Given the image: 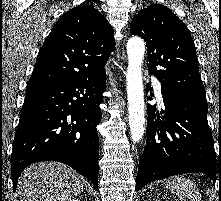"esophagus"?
I'll use <instances>...</instances> for the list:
<instances>
[{"instance_id":"obj_1","label":"esophagus","mask_w":221,"mask_h":201,"mask_svg":"<svg viewBox=\"0 0 221 201\" xmlns=\"http://www.w3.org/2000/svg\"><path fill=\"white\" fill-rule=\"evenodd\" d=\"M118 58H120L119 54H118ZM121 58H122V56H121Z\"/></svg>"}]
</instances>
